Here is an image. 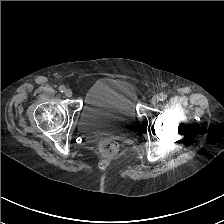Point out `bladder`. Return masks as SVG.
I'll use <instances>...</instances> for the list:
<instances>
[{"label": "bladder", "instance_id": "31cf9c89", "mask_svg": "<svg viewBox=\"0 0 224 224\" xmlns=\"http://www.w3.org/2000/svg\"><path fill=\"white\" fill-rule=\"evenodd\" d=\"M135 126L134 97L125 83L112 77L98 79L84 96L77 123L79 132L126 137Z\"/></svg>", "mask_w": 224, "mask_h": 224}]
</instances>
